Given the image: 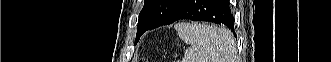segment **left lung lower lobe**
I'll use <instances>...</instances> for the list:
<instances>
[{"mask_svg":"<svg viewBox=\"0 0 331 62\" xmlns=\"http://www.w3.org/2000/svg\"><path fill=\"white\" fill-rule=\"evenodd\" d=\"M181 19L213 22L225 26L236 37L229 0H184L163 25H169ZM147 30L151 29L140 27L135 42Z\"/></svg>","mask_w":331,"mask_h":62,"instance_id":"left-lung-lower-lobe-1","label":"left lung lower lobe"}]
</instances>
